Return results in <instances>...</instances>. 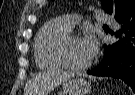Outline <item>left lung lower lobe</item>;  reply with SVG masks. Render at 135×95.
<instances>
[{"label": "left lung lower lobe", "mask_w": 135, "mask_h": 95, "mask_svg": "<svg viewBox=\"0 0 135 95\" xmlns=\"http://www.w3.org/2000/svg\"><path fill=\"white\" fill-rule=\"evenodd\" d=\"M120 27L111 32L118 40L104 45V57L88 74L123 80L135 93V10L116 20Z\"/></svg>", "instance_id": "0a47b994"}]
</instances>
